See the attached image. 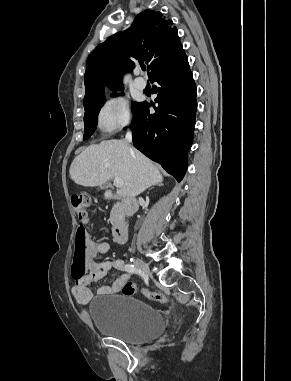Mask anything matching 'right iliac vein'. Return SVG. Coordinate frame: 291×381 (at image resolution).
Segmentation results:
<instances>
[{
    "label": "right iliac vein",
    "instance_id": "1",
    "mask_svg": "<svg viewBox=\"0 0 291 381\" xmlns=\"http://www.w3.org/2000/svg\"><path fill=\"white\" fill-rule=\"evenodd\" d=\"M133 264L147 275H151L148 265L139 258L132 259Z\"/></svg>",
    "mask_w": 291,
    "mask_h": 381
}]
</instances>
